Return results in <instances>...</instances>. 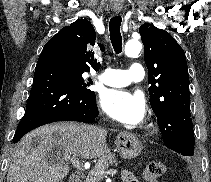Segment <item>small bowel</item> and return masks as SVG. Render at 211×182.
I'll list each match as a JSON object with an SVG mask.
<instances>
[{
	"instance_id": "obj_1",
	"label": "small bowel",
	"mask_w": 211,
	"mask_h": 182,
	"mask_svg": "<svg viewBox=\"0 0 211 182\" xmlns=\"http://www.w3.org/2000/svg\"><path fill=\"white\" fill-rule=\"evenodd\" d=\"M122 181L123 182H138L136 177L130 171H124L122 173Z\"/></svg>"
}]
</instances>
